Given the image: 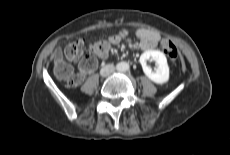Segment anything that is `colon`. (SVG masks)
Wrapping results in <instances>:
<instances>
[{"label":"colon","mask_w":230,"mask_h":155,"mask_svg":"<svg viewBox=\"0 0 230 155\" xmlns=\"http://www.w3.org/2000/svg\"><path fill=\"white\" fill-rule=\"evenodd\" d=\"M158 47L162 48L168 55L172 62H175L179 57V51L174 43L170 39H163L158 42ZM84 42L81 40L73 41L67 44L62 53H57L53 60V71L55 76L66 82L68 86L75 85V79L73 77V70L71 66L64 60L77 61L84 53ZM109 44L105 41H94L90 43L88 47V55L81 61V69L84 71L93 70L96 65V57L100 56L108 51Z\"/></svg>","instance_id":"obj_1"}]
</instances>
